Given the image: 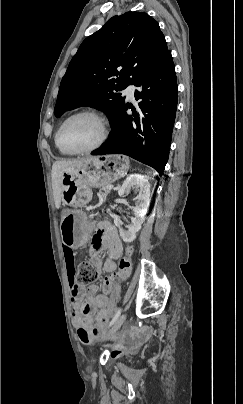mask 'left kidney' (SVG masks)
I'll use <instances>...</instances> for the list:
<instances>
[{
	"instance_id": "left-kidney-1",
	"label": "left kidney",
	"mask_w": 243,
	"mask_h": 404,
	"mask_svg": "<svg viewBox=\"0 0 243 404\" xmlns=\"http://www.w3.org/2000/svg\"><path fill=\"white\" fill-rule=\"evenodd\" d=\"M131 190L138 192L139 196L136 198L135 208H133L134 218H131V224L128 230H122L119 224L120 220H117V218L114 220V224L115 226H118L120 236L126 244L133 242L136 238L137 232L141 230V224H143L145 220L151 198L150 184L146 176L131 174V176L126 178L125 182H123V186L118 190V194L119 196H124V194H129Z\"/></svg>"
}]
</instances>
